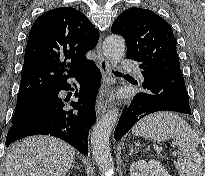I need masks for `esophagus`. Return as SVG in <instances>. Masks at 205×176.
<instances>
[{
    "mask_svg": "<svg viewBox=\"0 0 205 176\" xmlns=\"http://www.w3.org/2000/svg\"><path fill=\"white\" fill-rule=\"evenodd\" d=\"M97 55H98V68L102 75V85L98 95L97 104H96V114L97 116L103 115L108 108L107 95L111 90L112 86V77H111V66L108 60L105 58L101 48V39L97 45Z\"/></svg>",
    "mask_w": 205,
    "mask_h": 176,
    "instance_id": "esophagus-1",
    "label": "esophagus"
}]
</instances>
